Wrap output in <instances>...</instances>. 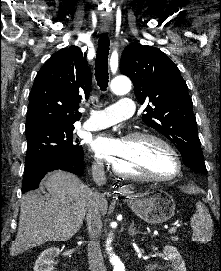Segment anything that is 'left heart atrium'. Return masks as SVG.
Listing matches in <instances>:
<instances>
[{"instance_id": "left-heart-atrium-1", "label": "left heart atrium", "mask_w": 221, "mask_h": 271, "mask_svg": "<svg viewBox=\"0 0 221 271\" xmlns=\"http://www.w3.org/2000/svg\"><path fill=\"white\" fill-rule=\"evenodd\" d=\"M108 135H99L91 141V149L100 153V157H137L131 148H120L122 142H111Z\"/></svg>"}]
</instances>
